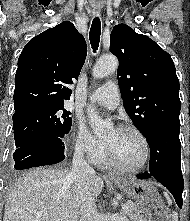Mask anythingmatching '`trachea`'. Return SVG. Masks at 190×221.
Returning a JSON list of instances; mask_svg holds the SVG:
<instances>
[{
    "mask_svg": "<svg viewBox=\"0 0 190 221\" xmlns=\"http://www.w3.org/2000/svg\"><path fill=\"white\" fill-rule=\"evenodd\" d=\"M100 35H101V21L99 17H95L92 21L90 34H89L90 44L94 52H96V50L99 47Z\"/></svg>",
    "mask_w": 190,
    "mask_h": 221,
    "instance_id": "3493384b",
    "label": "trachea"
}]
</instances>
